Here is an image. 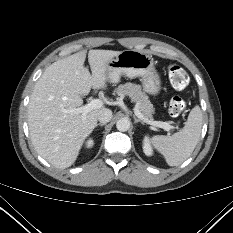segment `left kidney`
<instances>
[{"instance_id": "1", "label": "left kidney", "mask_w": 233, "mask_h": 233, "mask_svg": "<svg viewBox=\"0 0 233 233\" xmlns=\"http://www.w3.org/2000/svg\"><path fill=\"white\" fill-rule=\"evenodd\" d=\"M143 151L145 155L152 156L153 155V149L150 145L149 137L145 136L143 139Z\"/></svg>"}]
</instances>
